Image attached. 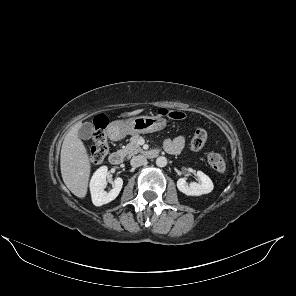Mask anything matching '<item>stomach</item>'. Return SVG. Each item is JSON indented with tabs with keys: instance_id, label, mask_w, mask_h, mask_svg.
<instances>
[{
	"instance_id": "stomach-1",
	"label": "stomach",
	"mask_w": 296,
	"mask_h": 296,
	"mask_svg": "<svg viewBox=\"0 0 296 296\" xmlns=\"http://www.w3.org/2000/svg\"><path fill=\"white\" fill-rule=\"evenodd\" d=\"M166 124L167 121L162 116H139L113 123L115 129L121 135L152 133L164 129Z\"/></svg>"
}]
</instances>
